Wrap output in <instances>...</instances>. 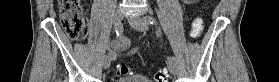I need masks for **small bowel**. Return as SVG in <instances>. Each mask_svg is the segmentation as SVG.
<instances>
[{"instance_id": "c3829d8e", "label": "small bowel", "mask_w": 279, "mask_h": 82, "mask_svg": "<svg viewBox=\"0 0 279 82\" xmlns=\"http://www.w3.org/2000/svg\"><path fill=\"white\" fill-rule=\"evenodd\" d=\"M110 48L111 56L114 60H118L122 57L134 56L138 53V48L131 47V40L126 36L114 40Z\"/></svg>"}]
</instances>
